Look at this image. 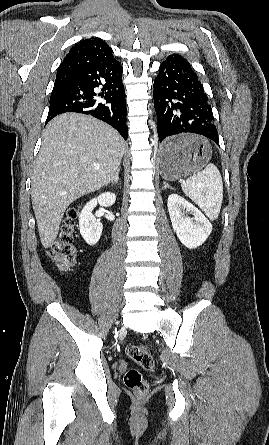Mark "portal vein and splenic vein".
<instances>
[{
	"instance_id": "portal-vein-and-splenic-vein-1",
	"label": "portal vein and splenic vein",
	"mask_w": 269,
	"mask_h": 445,
	"mask_svg": "<svg viewBox=\"0 0 269 445\" xmlns=\"http://www.w3.org/2000/svg\"><path fill=\"white\" fill-rule=\"evenodd\" d=\"M94 169H95V170H98V169H99V166H94Z\"/></svg>"
}]
</instances>
